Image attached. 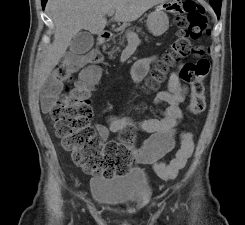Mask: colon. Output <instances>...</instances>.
Masks as SVG:
<instances>
[{
    "label": "colon",
    "mask_w": 245,
    "mask_h": 225,
    "mask_svg": "<svg viewBox=\"0 0 245 225\" xmlns=\"http://www.w3.org/2000/svg\"><path fill=\"white\" fill-rule=\"evenodd\" d=\"M174 11L179 13L175 19L177 39L152 70L148 87H160L169 68L194 52L197 59L184 66L181 77L191 85L189 110L192 114H198L205 107L203 79L209 71V62L200 57L204 52L203 48L192 50L188 36L192 39H202L207 35L208 28L203 10L192 0L176 6ZM84 57L97 62L100 54L83 53L68 58L46 82L47 90L50 93H58L59 96L50 111V117L55 124V134L71 152L75 164L86 172L107 177L124 174L131 164L132 147L137 141L134 129H125L120 133V141H109L102 146L91 125L92 109L88 102L89 88L86 84L91 73L85 72L80 80L69 84ZM192 151L193 141L190 135L186 134L182 137L181 146L174 158L167 164L155 165L157 173L163 179L175 178L186 165Z\"/></svg>",
    "instance_id": "5ec220e1"
}]
</instances>
